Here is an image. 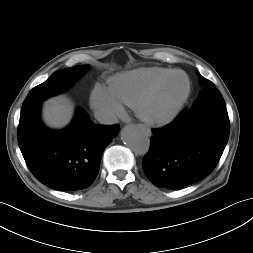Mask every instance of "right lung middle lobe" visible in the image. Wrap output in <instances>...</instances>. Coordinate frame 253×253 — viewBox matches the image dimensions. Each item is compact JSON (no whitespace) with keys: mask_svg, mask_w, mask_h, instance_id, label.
<instances>
[{"mask_svg":"<svg viewBox=\"0 0 253 253\" xmlns=\"http://www.w3.org/2000/svg\"><path fill=\"white\" fill-rule=\"evenodd\" d=\"M88 66H74L53 73L44 83L33 88L23 102L22 108L42 102L46 98L67 89L80 78Z\"/></svg>","mask_w":253,"mask_h":253,"instance_id":"obj_1","label":"right lung middle lobe"}]
</instances>
